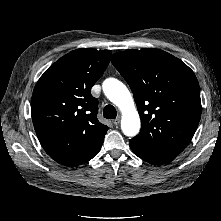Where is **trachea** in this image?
Masks as SVG:
<instances>
[{
    "label": "trachea",
    "instance_id": "trachea-1",
    "mask_svg": "<svg viewBox=\"0 0 221 221\" xmlns=\"http://www.w3.org/2000/svg\"><path fill=\"white\" fill-rule=\"evenodd\" d=\"M103 116L106 119H114L117 116V111L112 105H106L103 110Z\"/></svg>",
    "mask_w": 221,
    "mask_h": 221
}]
</instances>
